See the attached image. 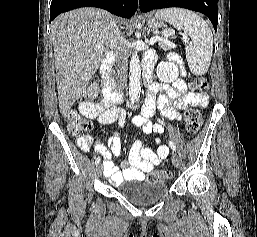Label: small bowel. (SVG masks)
<instances>
[{"label":"small bowel","instance_id":"1","mask_svg":"<svg viewBox=\"0 0 257 237\" xmlns=\"http://www.w3.org/2000/svg\"><path fill=\"white\" fill-rule=\"evenodd\" d=\"M151 75V63L149 60L145 65ZM158 91L163 93L156 99ZM208 103L206 95L187 91V85L183 79L176 80L172 85L152 83L149 86V95L144 103L141 116L133 119L134 123L142 126L147 133H162L164 127L158 123H152L149 118L154 114L156 107L167 118L181 119L180 110L188 106L205 107ZM82 115L90 119H96L102 125L119 122L123 124L126 119L125 111L113 106V103L106 98L98 102L83 101L79 104ZM77 144L83 151H89L93 147L104 156V175L109 181L118 185L125 180H143L146 173L159 166L168 156L169 149L166 145L158 147L154 152L145 147L141 141L137 140L132 145L127 161L118 167L111 161L112 155H119L121 143L118 135L114 134L109 139L110 150H107L98 140L90 136H80Z\"/></svg>","mask_w":257,"mask_h":237}]
</instances>
